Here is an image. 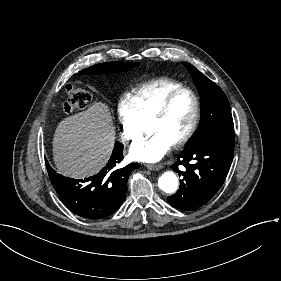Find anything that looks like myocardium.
Returning a JSON list of instances; mask_svg holds the SVG:
<instances>
[{
    "label": "myocardium",
    "instance_id": "f54148a6",
    "mask_svg": "<svg viewBox=\"0 0 281 281\" xmlns=\"http://www.w3.org/2000/svg\"><path fill=\"white\" fill-rule=\"evenodd\" d=\"M185 94L189 95L192 98L193 104H194V111H193L192 119H191V122H190V125H189L187 131L184 133V135L182 137H180L179 139L175 140L172 143V145L175 147H180V146H183L184 144H186L194 135V133L197 129L198 123H199L200 102H199V98L192 90L184 88V89H181V90H178V91L172 93L144 120V123L146 126L148 123L160 119L166 113V111L168 110L170 105L178 97L185 95Z\"/></svg>",
    "mask_w": 281,
    "mask_h": 281
}]
</instances>
